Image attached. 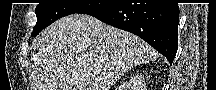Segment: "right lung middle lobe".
<instances>
[{
  "instance_id": "obj_1",
  "label": "right lung middle lobe",
  "mask_w": 216,
  "mask_h": 90,
  "mask_svg": "<svg viewBox=\"0 0 216 90\" xmlns=\"http://www.w3.org/2000/svg\"><path fill=\"white\" fill-rule=\"evenodd\" d=\"M108 4L105 3H39L35 13L37 16L36 25L33 28L32 36H37L39 32L64 16L83 13L86 14L92 10L102 8Z\"/></svg>"
}]
</instances>
